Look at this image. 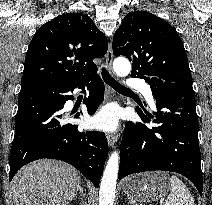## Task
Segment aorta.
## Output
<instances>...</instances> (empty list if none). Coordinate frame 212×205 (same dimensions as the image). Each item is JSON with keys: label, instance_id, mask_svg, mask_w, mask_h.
Masks as SVG:
<instances>
[{"label": "aorta", "instance_id": "762f6f07", "mask_svg": "<svg viewBox=\"0 0 212 205\" xmlns=\"http://www.w3.org/2000/svg\"><path fill=\"white\" fill-rule=\"evenodd\" d=\"M113 69L120 77H126L131 71L128 59L119 57L113 62ZM120 155L118 151L111 153L101 179L99 191V205H113L116 191V183L119 170Z\"/></svg>", "mask_w": 212, "mask_h": 205}]
</instances>
